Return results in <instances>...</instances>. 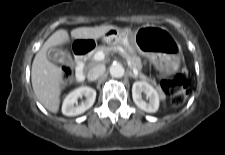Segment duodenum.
I'll return each instance as SVG.
<instances>
[{
	"mask_svg": "<svg viewBox=\"0 0 225 155\" xmlns=\"http://www.w3.org/2000/svg\"><path fill=\"white\" fill-rule=\"evenodd\" d=\"M91 50L92 46L86 42H78L74 47L76 61V78L80 82L84 79L85 59Z\"/></svg>",
	"mask_w": 225,
	"mask_h": 155,
	"instance_id": "410a0bca",
	"label": "duodenum"
}]
</instances>
